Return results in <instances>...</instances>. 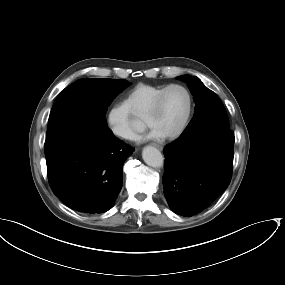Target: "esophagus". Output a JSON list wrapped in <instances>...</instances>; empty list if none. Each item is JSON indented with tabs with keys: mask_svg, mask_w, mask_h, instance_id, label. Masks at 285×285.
Instances as JSON below:
<instances>
[{
	"mask_svg": "<svg viewBox=\"0 0 285 285\" xmlns=\"http://www.w3.org/2000/svg\"><path fill=\"white\" fill-rule=\"evenodd\" d=\"M156 148H158L159 150H163V147L159 144L154 143L153 144Z\"/></svg>",
	"mask_w": 285,
	"mask_h": 285,
	"instance_id": "obj_1",
	"label": "esophagus"
}]
</instances>
